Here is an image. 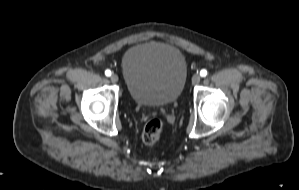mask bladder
<instances>
[{"label":"bladder","instance_id":"obj_1","mask_svg":"<svg viewBox=\"0 0 299 190\" xmlns=\"http://www.w3.org/2000/svg\"><path fill=\"white\" fill-rule=\"evenodd\" d=\"M121 68L131 98L143 106H164L181 94L187 62L180 49L162 42H144L122 57Z\"/></svg>","mask_w":299,"mask_h":190}]
</instances>
